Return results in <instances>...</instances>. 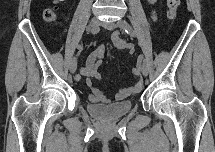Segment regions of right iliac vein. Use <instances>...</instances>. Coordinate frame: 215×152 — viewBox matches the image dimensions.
<instances>
[{
  "instance_id": "right-iliac-vein-1",
  "label": "right iliac vein",
  "mask_w": 215,
  "mask_h": 152,
  "mask_svg": "<svg viewBox=\"0 0 215 152\" xmlns=\"http://www.w3.org/2000/svg\"><path fill=\"white\" fill-rule=\"evenodd\" d=\"M99 20H98V18H96V17H94V18H92L91 20H90V22H89V26L90 27H92V28H94V27H97L98 25H99ZM70 72L71 73H75V71H76V69H77V59L76 58H73L72 60H71V63H70Z\"/></svg>"
}]
</instances>
